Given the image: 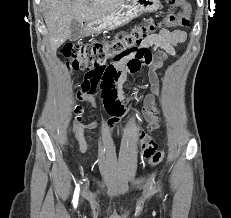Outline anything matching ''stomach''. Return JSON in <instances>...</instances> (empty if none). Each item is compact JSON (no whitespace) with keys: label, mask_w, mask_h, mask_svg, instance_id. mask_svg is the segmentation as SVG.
<instances>
[{"label":"stomach","mask_w":231,"mask_h":218,"mask_svg":"<svg viewBox=\"0 0 231 218\" xmlns=\"http://www.w3.org/2000/svg\"><path fill=\"white\" fill-rule=\"evenodd\" d=\"M159 6V0H126L109 16L88 23L86 34H100L103 31L123 26L143 13L156 11Z\"/></svg>","instance_id":"0dacf381"}]
</instances>
